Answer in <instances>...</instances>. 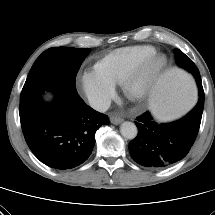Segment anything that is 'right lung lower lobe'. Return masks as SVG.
Returning a JSON list of instances; mask_svg holds the SVG:
<instances>
[{"label": "right lung lower lobe", "mask_w": 215, "mask_h": 215, "mask_svg": "<svg viewBox=\"0 0 215 215\" xmlns=\"http://www.w3.org/2000/svg\"><path fill=\"white\" fill-rule=\"evenodd\" d=\"M109 118L86 105L75 85L42 102L33 117L21 124L34 155L47 166L66 170L85 162L95 145V132Z\"/></svg>", "instance_id": "obj_1"}]
</instances>
